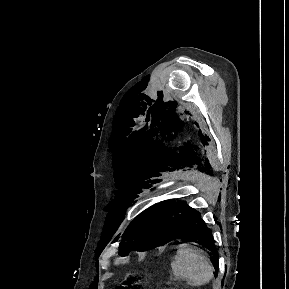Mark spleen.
Returning <instances> with one entry per match:
<instances>
[{
  "label": "spleen",
  "instance_id": "1",
  "mask_svg": "<svg viewBox=\"0 0 289 289\" xmlns=\"http://www.w3.org/2000/svg\"><path fill=\"white\" fill-rule=\"evenodd\" d=\"M171 270L175 279L185 280L191 286L205 285L213 278L210 260L199 249L186 244L179 245L171 262Z\"/></svg>",
  "mask_w": 289,
  "mask_h": 289
}]
</instances>
